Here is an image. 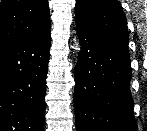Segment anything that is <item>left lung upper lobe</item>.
I'll use <instances>...</instances> for the list:
<instances>
[{"mask_svg": "<svg viewBox=\"0 0 147 131\" xmlns=\"http://www.w3.org/2000/svg\"><path fill=\"white\" fill-rule=\"evenodd\" d=\"M76 24L128 48L125 14L117 0H76Z\"/></svg>", "mask_w": 147, "mask_h": 131, "instance_id": "left-lung-upper-lobe-1", "label": "left lung upper lobe"}]
</instances>
